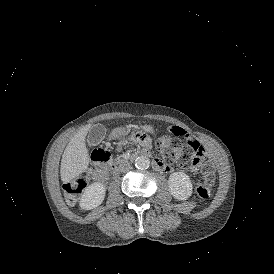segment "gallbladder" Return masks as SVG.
<instances>
[{
	"label": "gallbladder",
	"mask_w": 274,
	"mask_h": 274,
	"mask_svg": "<svg viewBox=\"0 0 274 274\" xmlns=\"http://www.w3.org/2000/svg\"><path fill=\"white\" fill-rule=\"evenodd\" d=\"M106 135V128L102 124L93 125L88 133L87 142L90 146L98 145Z\"/></svg>",
	"instance_id": "gallbladder-1"
}]
</instances>
